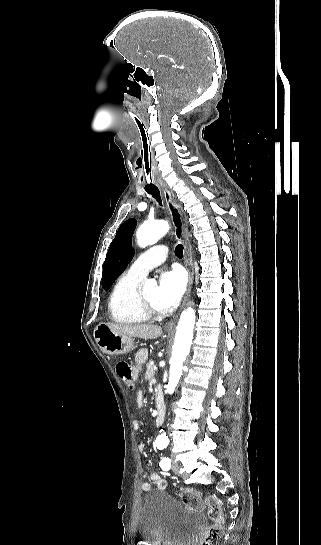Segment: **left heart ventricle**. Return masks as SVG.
Wrapping results in <instances>:
<instances>
[{
  "label": "left heart ventricle",
  "instance_id": "b2bd125f",
  "mask_svg": "<svg viewBox=\"0 0 321 545\" xmlns=\"http://www.w3.org/2000/svg\"><path fill=\"white\" fill-rule=\"evenodd\" d=\"M140 296L146 305L159 310L156 305V288H149V289L142 288L140 292Z\"/></svg>",
  "mask_w": 321,
  "mask_h": 545
}]
</instances>
